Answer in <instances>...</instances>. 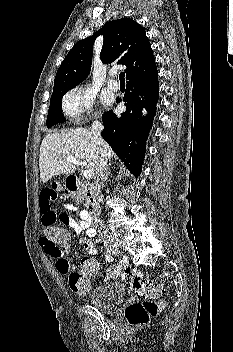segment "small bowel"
Here are the masks:
<instances>
[{"mask_svg": "<svg viewBox=\"0 0 233 352\" xmlns=\"http://www.w3.org/2000/svg\"><path fill=\"white\" fill-rule=\"evenodd\" d=\"M57 206L61 208L62 212L58 213ZM39 207L42 223L46 221H53L55 223L59 219L76 233L85 234L86 237L79 240V245L82 246L89 255H97V250L92 242V238L95 236V230L91 227L88 212L80 210L72 203H60L56 185L52 184L46 186L40 191ZM67 213H76L79 218H71ZM40 245L45 254L55 259V266L59 273L70 276L71 273L76 272L77 267L70 265L66 258L65 247L55 246L44 237L40 239Z\"/></svg>", "mask_w": 233, "mask_h": 352, "instance_id": "1", "label": "small bowel"}]
</instances>
